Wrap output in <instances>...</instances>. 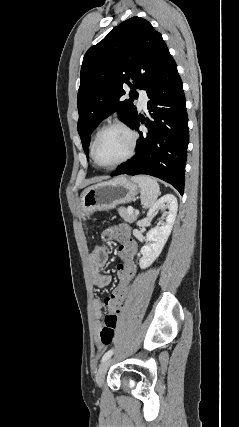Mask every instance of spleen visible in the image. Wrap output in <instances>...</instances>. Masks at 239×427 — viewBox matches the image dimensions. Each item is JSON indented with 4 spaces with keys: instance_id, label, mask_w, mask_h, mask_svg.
Here are the masks:
<instances>
[{
    "instance_id": "obj_1",
    "label": "spleen",
    "mask_w": 239,
    "mask_h": 427,
    "mask_svg": "<svg viewBox=\"0 0 239 427\" xmlns=\"http://www.w3.org/2000/svg\"><path fill=\"white\" fill-rule=\"evenodd\" d=\"M141 189V204L144 208H151L160 195V188L157 181L150 176L138 175L131 178Z\"/></svg>"
}]
</instances>
